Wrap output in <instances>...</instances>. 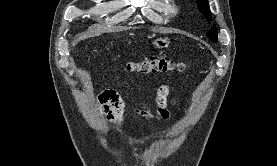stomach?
I'll list each match as a JSON object with an SVG mask.
<instances>
[{
    "label": "stomach",
    "mask_w": 277,
    "mask_h": 166,
    "mask_svg": "<svg viewBox=\"0 0 277 166\" xmlns=\"http://www.w3.org/2000/svg\"><path fill=\"white\" fill-rule=\"evenodd\" d=\"M152 44L155 48L162 49V48H167L170 44V41L167 38H158V39H155L152 42Z\"/></svg>",
    "instance_id": "1"
}]
</instances>
